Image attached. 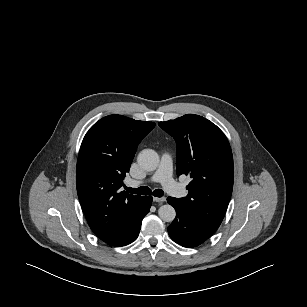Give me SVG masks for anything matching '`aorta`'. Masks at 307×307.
<instances>
[{
    "mask_svg": "<svg viewBox=\"0 0 307 307\" xmlns=\"http://www.w3.org/2000/svg\"><path fill=\"white\" fill-rule=\"evenodd\" d=\"M159 155L152 149L142 150L137 157V162L146 171H154L159 165ZM159 217L165 222H172L176 217L175 209L169 205H163L158 209Z\"/></svg>",
    "mask_w": 307,
    "mask_h": 307,
    "instance_id": "1",
    "label": "aorta"
}]
</instances>
